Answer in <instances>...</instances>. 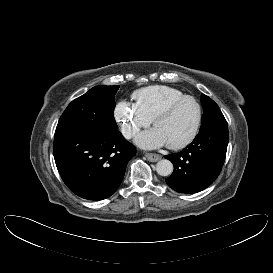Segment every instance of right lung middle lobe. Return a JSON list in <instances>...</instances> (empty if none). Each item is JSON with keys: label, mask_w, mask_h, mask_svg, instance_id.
<instances>
[{"label": "right lung middle lobe", "mask_w": 273, "mask_h": 273, "mask_svg": "<svg viewBox=\"0 0 273 273\" xmlns=\"http://www.w3.org/2000/svg\"><path fill=\"white\" fill-rule=\"evenodd\" d=\"M119 86H95L73 100L59 119L55 134L98 130L118 132L114 119V97Z\"/></svg>", "instance_id": "right-lung-middle-lobe-1"}]
</instances>
